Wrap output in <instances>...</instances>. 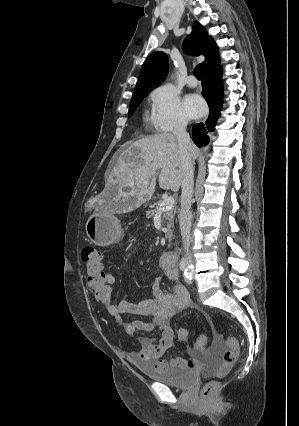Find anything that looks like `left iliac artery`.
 Masks as SVG:
<instances>
[{
  "mask_svg": "<svg viewBox=\"0 0 299 426\" xmlns=\"http://www.w3.org/2000/svg\"><path fill=\"white\" fill-rule=\"evenodd\" d=\"M185 277H188L189 279H191L192 276V269H189L188 271L185 270Z\"/></svg>",
  "mask_w": 299,
  "mask_h": 426,
  "instance_id": "1",
  "label": "left iliac artery"
}]
</instances>
